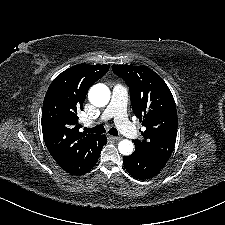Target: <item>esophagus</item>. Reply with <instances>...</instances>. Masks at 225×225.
<instances>
[{"instance_id": "esophagus-1", "label": "esophagus", "mask_w": 225, "mask_h": 225, "mask_svg": "<svg viewBox=\"0 0 225 225\" xmlns=\"http://www.w3.org/2000/svg\"><path fill=\"white\" fill-rule=\"evenodd\" d=\"M109 139L113 140V141H119L122 139V137H118V136H109Z\"/></svg>"}]
</instances>
